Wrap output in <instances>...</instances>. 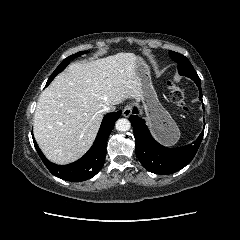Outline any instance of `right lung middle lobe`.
Returning a JSON list of instances; mask_svg holds the SVG:
<instances>
[{
  "instance_id": "right-lung-middle-lobe-1",
  "label": "right lung middle lobe",
  "mask_w": 240,
  "mask_h": 240,
  "mask_svg": "<svg viewBox=\"0 0 240 240\" xmlns=\"http://www.w3.org/2000/svg\"><path fill=\"white\" fill-rule=\"evenodd\" d=\"M86 52L84 51H81V52H78L74 55H71L69 57H67L66 59H64L61 64L55 69V71L52 73V75L49 77L48 81H47V85L54 79V77L60 73L61 71H63V69H65V67L69 64L70 60L76 58L77 56L79 55H82Z\"/></svg>"
}]
</instances>
